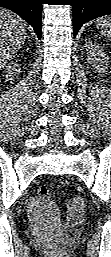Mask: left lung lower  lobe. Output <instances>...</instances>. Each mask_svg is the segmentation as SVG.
<instances>
[{
	"instance_id": "obj_1",
	"label": "left lung lower lobe",
	"mask_w": 111,
	"mask_h": 257,
	"mask_svg": "<svg viewBox=\"0 0 111 257\" xmlns=\"http://www.w3.org/2000/svg\"><path fill=\"white\" fill-rule=\"evenodd\" d=\"M106 14H111V0H74V36L84 23Z\"/></svg>"
}]
</instances>
